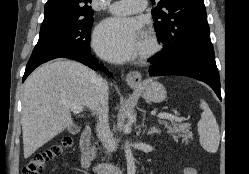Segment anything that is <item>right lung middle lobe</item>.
<instances>
[{
    "mask_svg": "<svg viewBox=\"0 0 249 174\" xmlns=\"http://www.w3.org/2000/svg\"><path fill=\"white\" fill-rule=\"evenodd\" d=\"M93 17L41 27L39 40L29 61L52 52H91Z\"/></svg>",
    "mask_w": 249,
    "mask_h": 174,
    "instance_id": "1",
    "label": "right lung middle lobe"
}]
</instances>
